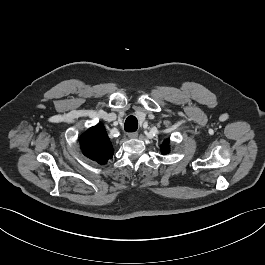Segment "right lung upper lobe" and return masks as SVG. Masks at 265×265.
<instances>
[{"instance_id":"obj_1","label":"right lung upper lobe","mask_w":265,"mask_h":265,"mask_svg":"<svg viewBox=\"0 0 265 265\" xmlns=\"http://www.w3.org/2000/svg\"><path fill=\"white\" fill-rule=\"evenodd\" d=\"M83 154L99 164L113 156V147L102 124L88 129L80 138Z\"/></svg>"}]
</instances>
